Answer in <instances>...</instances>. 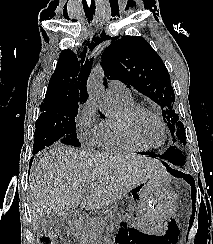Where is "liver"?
Instances as JSON below:
<instances>
[{
    "label": "liver",
    "mask_w": 213,
    "mask_h": 244,
    "mask_svg": "<svg viewBox=\"0 0 213 244\" xmlns=\"http://www.w3.org/2000/svg\"><path fill=\"white\" fill-rule=\"evenodd\" d=\"M162 173V165L149 157L56 144L43 154L30 178L32 224L38 228L48 212L67 217L80 203L85 210L101 208Z\"/></svg>",
    "instance_id": "1"
}]
</instances>
